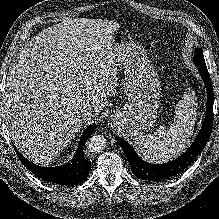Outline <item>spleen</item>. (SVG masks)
<instances>
[{
  "label": "spleen",
  "instance_id": "spleen-1",
  "mask_svg": "<svg viewBox=\"0 0 219 219\" xmlns=\"http://www.w3.org/2000/svg\"><path fill=\"white\" fill-rule=\"evenodd\" d=\"M195 94L186 93L175 108L170 127L160 126L153 134L139 135L134 146L138 155L148 162L162 163L178 156L190 142L196 118Z\"/></svg>",
  "mask_w": 219,
  "mask_h": 219
}]
</instances>
